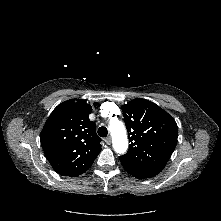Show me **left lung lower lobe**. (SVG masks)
Here are the masks:
<instances>
[{
	"label": "left lung lower lobe",
	"mask_w": 221,
	"mask_h": 221,
	"mask_svg": "<svg viewBox=\"0 0 221 221\" xmlns=\"http://www.w3.org/2000/svg\"><path fill=\"white\" fill-rule=\"evenodd\" d=\"M121 164L129 174L138 179L153 177L161 172L164 168V166L161 165L137 166L123 161H121Z\"/></svg>",
	"instance_id": "1"
}]
</instances>
